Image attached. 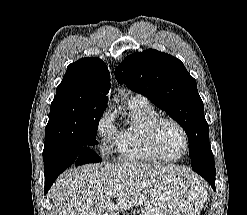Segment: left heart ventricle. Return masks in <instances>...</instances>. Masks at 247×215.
Instances as JSON below:
<instances>
[{
    "label": "left heart ventricle",
    "instance_id": "b2bd125f",
    "mask_svg": "<svg viewBox=\"0 0 247 215\" xmlns=\"http://www.w3.org/2000/svg\"><path fill=\"white\" fill-rule=\"evenodd\" d=\"M159 145L161 151L169 157L180 156L185 148L181 131L173 124H164L159 132Z\"/></svg>",
    "mask_w": 247,
    "mask_h": 215
}]
</instances>
